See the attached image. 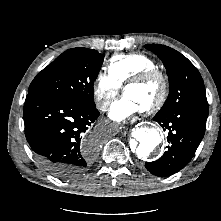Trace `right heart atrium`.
<instances>
[{
	"label": "right heart atrium",
	"instance_id": "obj_1",
	"mask_svg": "<svg viewBox=\"0 0 221 221\" xmlns=\"http://www.w3.org/2000/svg\"><path fill=\"white\" fill-rule=\"evenodd\" d=\"M120 90L121 85L108 73H98L93 87V94L97 107L102 111L107 110L111 101L118 95Z\"/></svg>",
	"mask_w": 221,
	"mask_h": 221
}]
</instances>
